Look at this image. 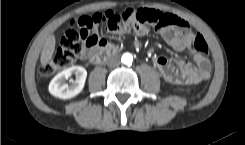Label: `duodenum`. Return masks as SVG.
Wrapping results in <instances>:
<instances>
[{"mask_svg":"<svg viewBox=\"0 0 245 145\" xmlns=\"http://www.w3.org/2000/svg\"><path fill=\"white\" fill-rule=\"evenodd\" d=\"M117 52V48L112 45H105L102 48H97L90 56V62L94 65L104 62Z\"/></svg>","mask_w":245,"mask_h":145,"instance_id":"410a0bca","label":"duodenum"}]
</instances>
